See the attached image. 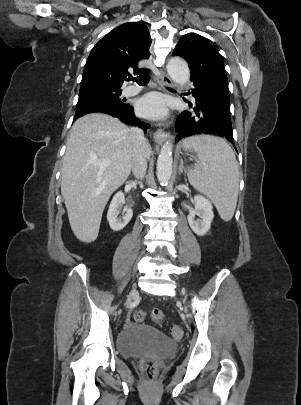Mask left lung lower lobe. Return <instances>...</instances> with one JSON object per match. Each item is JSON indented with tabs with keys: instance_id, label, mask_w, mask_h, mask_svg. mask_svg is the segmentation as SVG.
Listing matches in <instances>:
<instances>
[{
	"instance_id": "0a47b994",
	"label": "left lung lower lobe",
	"mask_w": 301,
	"mask_h": 405,
	"mask_svg": "<svg viewBox=\"0 0 301 405\" xmlns=\"http://www.w3.org/2000/svg\"><path fill=\"white\" fill-rule=\"evenodd\" d=\"M192 82L194 88L191 93L196 99L194 112L184 111L178 116L175 124L178 135L175 141L193 135L209 134L224 137L234 145L230 101L215 96L198 81Z\"/></svg>"
}]
</instances>
